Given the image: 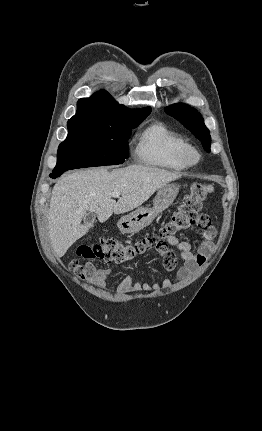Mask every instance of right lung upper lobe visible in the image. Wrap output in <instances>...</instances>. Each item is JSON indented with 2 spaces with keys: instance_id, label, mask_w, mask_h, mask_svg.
<instances>
[{
  "instance_id": "cb5924a9",
  "label": "right lung upper lobe",
  "mask_w": 262,
  "mask_h": 431,
  "mask_svg": "<svg viewBox=\"0 0 262 431\" xmlns=\"http://www.w3.org/2000/svg\"><path fill=\"white\" fill-rule=\"evenodd\" d=\"M150 108L131 110L117 103L107 92L100 91L90 98L79 99L76 114L68 124L79 122H108L148 115Z\"/></svg>"
}]
</instances>
